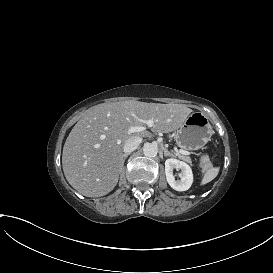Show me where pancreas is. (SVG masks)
Returning a JSON list of instances; mask_svg holds the SVG:
<instances>
[{
    "label": "pancreas",
    "instance_id": "1",
    "mask_svg": "<svg viewBox=\"0 0 273 273\" xmlns=\"http://www.w3.org/2000/svg\"><path fill=\"white\" fill-rule=\"evenodd\" d=\"M179 157H180L181 159H183V160H185V161H187V162L191 163V159H190V157H188V156H184V155H179Z\"/></svg>",
    "mask_w": 273,
    "mask_h": 273
}]
</instances>
